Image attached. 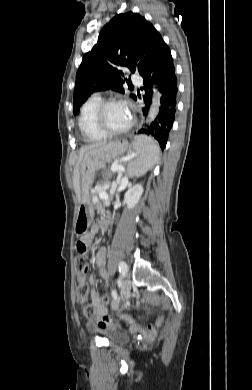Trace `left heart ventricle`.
Returning a JSON list of instances; mask_svg holds the SVG:
<instances>
[{"mask_svg": "<svg viewBox=\"0 0 252 390\" xmlns=\"http://www.w3.org/2000/svg\"><path fill=\"white\" fill-rule=\"evenodd\" d=\"M131 111L125 104H113L105 112L104 119L108 128L121 130L131 121Z\"/></svg>", "mask_w": 252, "mask_h": 390, "instance_id": "b2bd125f", "label": "left heart ventricle"}]
</instances>
